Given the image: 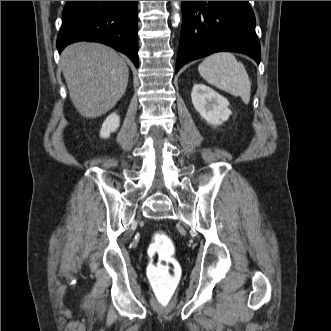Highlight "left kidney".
I'll use <instances>...</instances> for the list:
<instances>
[{
    "mask_svg": "<svg viewBox=\"0 0 331 331\" xmlns=\"http://www.w3.org/2000/svg\"><path fill=\"white\" fill-rule=\"evenodd\" d=\"M196 111L211 125H221L231 115L226 98L204 84H195L191 93Z\"/></svg>",
    "mask_w": 331,
    "mask_h": 331,
    "instance_id": "left-kidney-1",
    "label": "left kidney"
}]
</instances>
